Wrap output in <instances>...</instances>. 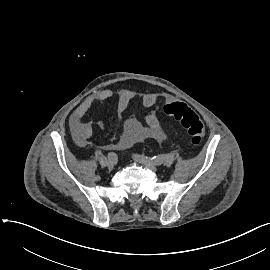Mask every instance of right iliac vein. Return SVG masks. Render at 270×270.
<instances>
[{"label": "right iliac vein", "instance_id": "1", "mask_svg": "<svg viewBox=\"0 0 270 270\" xmlns=\"http://www.w3.org/2000/svg\"><path fill=\"white\" fill-rule=\"evenodd\" d=\"M107 167L109 170H113L115 167V162H113L111 160L107 161Z\"/></svg>", "mask_w": 270, "mask_h": 270}]
</instances>
